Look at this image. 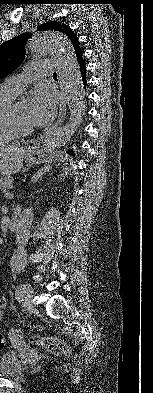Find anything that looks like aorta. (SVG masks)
<instances>
[{"instance_id":"1","label":"aorta","mask_w":153,"mask_h":393,"mask_svg":"<svg viewBox=\"0 0 153 393\" xmlns=\"http://www.w3.org/2000/svg\"><path fill=\"white\" fill-rule=\"evenodd\" d=\"M28 54L39 57L50 54L57 64V75L71 112L69 123L51 128L44 135V143L48 146L65 144L82 123L86 110L85 90L80 68L72 43L64 35L54 31H40L33 35L27 44ZM34 218L33 207L24 209L16 224V243L19 248L12 255L11 268L21 272L27 262L30 228Z\"/></svg>"}]
</instances>
